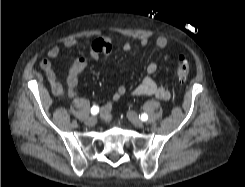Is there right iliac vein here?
Returning a JSON list of instances; mask_svg holds the SVG:
<instances>
[{
	"label": "right iliac vein",
	"mask_w": 245,
	"mask_h": 187,
	"mask_svg": "<svg viewBox=\"0 0 245 187\" xmlns=\"http://www.w3.org/2000/svg\"><path fill=\"white\" fill-rule=\"evenodd\" d=\"M96 121H97L96 120V117L95 116H91V117H89V118L86 119L85 123L88 126H93V125L96 124Z\"/></svg>",
	"instance_id": "obj_1"
}]
</instances>
